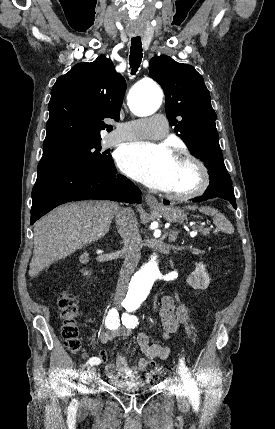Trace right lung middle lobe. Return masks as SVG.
Listing matches in <instances>:
<instances>
[{"label": "right lung middle lobe", "instance_id": "dd1d6c3e", "mask_svg": "<svg viewBox=\"0 0 275 429\" xmlns=\"http://www.w3.org/2000/svg\"><path fill=\"white\" fill-rule=\"evenodd\" d=\"M100 141L91 144H76L42 156L37 167V179L65 170L111 168L112 156L100 153Z\"/></svg>", "mask_w": 275, "mask_h": 429}]
</instances>
